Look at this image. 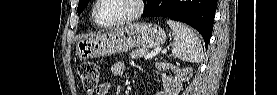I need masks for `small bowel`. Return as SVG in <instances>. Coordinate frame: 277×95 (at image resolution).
<instances>
[{"label": "small bowel", "mask_w": 277, "mask_h": 95, "mask_svg": "<svg viewBox=\"0 0 277 95\" xmlns=\"http://www.w3.org/2000/svg\"><path fill=\"white\" fill-rule=\"evenodd\" d=\"M126 64L122 61H118L112 66V73L117 76H125L126 75ZM111 85L109 83H103L98 88V94L100 95H108L110 94ZM158 94H166L165 92H160Z\"/></svg>", "instance_id": "1"}]
</instances>
